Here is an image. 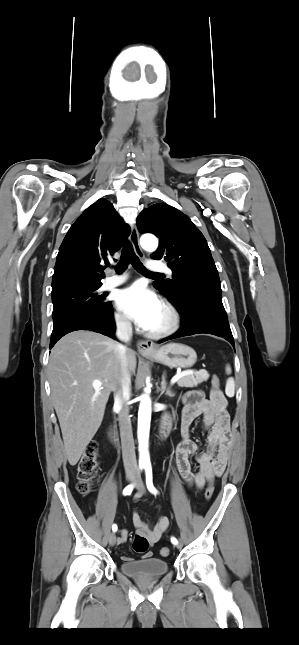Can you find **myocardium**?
Listing matches in <instances>:
<instances>
[{"label":"myocardium","instance_id":"myocardium-1","mask_svg":"<svg viewBox=\"0 0 299 645\" xmlns=\"http://www.w3.org/2000/svg\"><path fill=\"white\" fill-rule=\"evenodd\" d=\"M162 310L166 317L165 324L159 329L146 331L150 338L158 339L169 336L179 328L180 316L176 309L168 303H163Z\"/></svg>","mask_w":299,"mask_h":645}]
</instances>
